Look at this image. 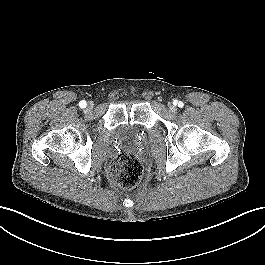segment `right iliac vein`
<instances>
[{
	"label": "right iliac vein",
	"instance_id": "right-iliac-vein-1",
	"mask_svg": "<svg viewBox=\"0 0 265 265\" xmlns=\"http://www.w3.org/2000/svg\"><path fill=\"white\" fill-rule=\"evenodd\" d=\"M88 106H89V108H92L93 107V103L89 102Z\"/></svg>",
	"mask_w": 265,
	"mask_h": 265
}]
</instances>
